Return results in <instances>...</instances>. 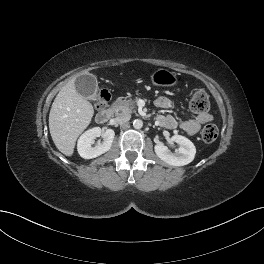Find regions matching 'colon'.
I'll return each mask as SVG.
<instances>
[{
	"instance_id": "obj_1",
	"label": "colon",
	"mask_w": 264,
	"mask_h": 264,
	"mask_svg": "<svg viewBox=\"0 0 264 264\" xmlns=\"http://www.w3.org/2000/svg\"><path fill=\"white\" fill-rule=\"evenodd\" d=\"M109 100V95L106 91H102L99 97V106L103 107ZM189 108L192 112L204 114L209 111L210 103L206 92L200 88H194L189 96ZM219 130L214 124H207L201 132L202 139L211 143L218 137Z\"/></svg>"
}]
</instances>
